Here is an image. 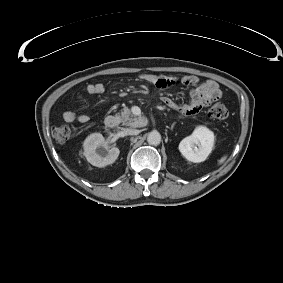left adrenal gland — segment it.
Masks as SVG:
<instances>
[{"instance_id": "obj_1", "label": "left adrenal gland", "mask_w": 283, "mask_h": 283, "mask_svg": "<svg viewBox=\"0 0 283 283\" xmlns=\"http://www.w3.org/2000/svg\"><path fill=\"white\" fill-rule=\"evenodd\" d=\"M175 125H176V122H174V123L171 125L170 130H173V128H174Z\"/></svg>"}]
</instances>
